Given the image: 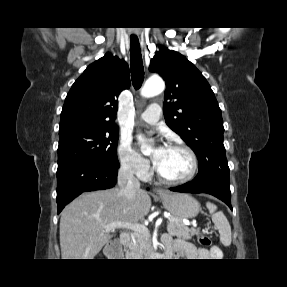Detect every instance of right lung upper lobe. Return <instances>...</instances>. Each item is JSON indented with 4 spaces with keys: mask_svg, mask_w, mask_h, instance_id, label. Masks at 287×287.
I'll list each match as a JSON object with an SVG mask.
<instances>
[{
    "mask_svg": "<svg viewBox=\"0 0 287 287\" xmlns=\"http://www.w3.org/2000/svg\"><path fill=\"white\" fill-rule=\"evenodd\" d=\"M129 86L127 63L111 53L105 54L72 85L61 112L60 129L77 123L117 128V97Z\"/></svg>",
    "mask_w": 287,
    "mask_h": 287,
    "instance_id": "1",
    "label": "right lung upper lobe"
}]
</instances>
